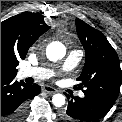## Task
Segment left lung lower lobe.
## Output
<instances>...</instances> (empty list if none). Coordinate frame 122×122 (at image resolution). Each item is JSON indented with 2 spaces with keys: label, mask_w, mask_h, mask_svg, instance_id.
Segmentation results:
<instances>
[{
  "label": "left lung lower lobe",
  "mask_w": 122,
  "mask_h": 122,
  "mask_svg": "<svg viewBox=\"0 0 122 122\" xmlns=\"http://www.w3.org/2000/svg\"><path fill=\"white\" fill-rule=\"evenodd\" d=\"M113 104L112 100L105 97L85 94L84 98L75 97L69 101L61 117L65 122H94L104 117Z\"/></svg>",
  "instance_id": "1"
}]
</instances>
